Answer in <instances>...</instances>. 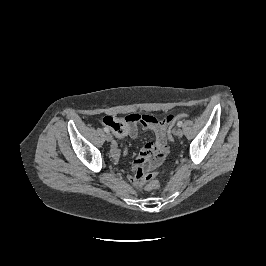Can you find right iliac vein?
<instances>
[{
    "label": "right iliac vein",
    "instance_id": "obj_1",
    "mask_svg": "<svg viewBox=\"0 0 266 266\" xmlns=\"http://www.w3.org/2000/svg\"><path fill=\"white\" fill-rule=\"evenodd\" d=\"M105 139L108 141V142H110V141H112V135L108 132V133H106V135H105Z\"/></svg>",
    "mask_w": 266,
    "mask_h": 266
}]
</instances>
